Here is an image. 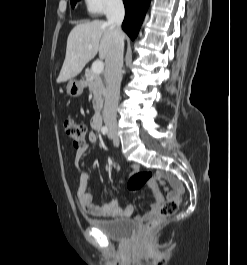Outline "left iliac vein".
<instances>
[{"instance_id":"left-iliac-vein-1","label":"left iliac vein","mask_w":247,"mask_h":265,"mask_svg":"<svg viewBox=\"0 0 247 265\" xmlns=\"http://www.w3.org/2000/svg\"><path fill=\"white\" fill-rule=\"evenodd\" d=\"M108 137L110 139H112V141H113V143H114L115 146H118L119 145V138H118L116 132L110 131L109 134H108Z\"/></svg>"}]
</instances>
